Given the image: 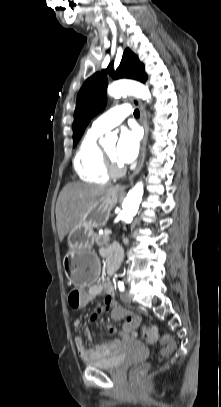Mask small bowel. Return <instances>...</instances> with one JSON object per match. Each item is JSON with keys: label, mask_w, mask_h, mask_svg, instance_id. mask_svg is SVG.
Here are the masks:
<instances>
[{"label": "small bowel", "mask_w": 221, "mask_h": 407, "mask_svg": "<svg viewBox=\"0 0 221 407\" xmlns=\"http://www.w3.org/2000/svg\"><path fill=\"white\" fill-rule=\"evenodd\" d=\"M114 250H116V249H112L110 251L104 250L103 255H110ZM87 286L89 287V294L86 295L87 304L90 301H92L93 299L97 298L98 296L104 294L105 298H104V302H103V308L106 311L110 312V310L113 309V307L115 305H120L115 300L114 290H113V286H112L111 282L97 281V282L90 283ZM94 318H95V316H94ZM81 325H82L81 319H76L74 321L75 328H79ZM106 330L110 334H115L117 331L116 328L111 324L106 325ZM132 331H134V330H124L125 333H129ZM75 345H76L77 352H78L80 358L83 361H89V360H98V359H102V358L109 356L119 346V341L115 340L110 343L105 342V343H101L100 345H98L94 348H88L84 339L81 336H77L75 338Z\"/></svg>", "instance_id": "1"}]
</instances>
